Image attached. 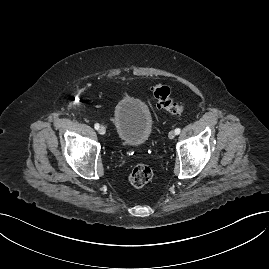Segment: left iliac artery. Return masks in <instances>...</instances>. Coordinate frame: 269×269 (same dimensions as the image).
Returning a JSON list of instances; mask_svg holds the SVG:
<instances>
[{"mask_svg":"<svg viewBox=\"0 0 269 269\" xmlns=\"http://www.w3.org/2000/svg\"><path fill=\"white\" fill-rule=\"evenodd\" d=\"M180 132H181L180 128H176V129H175V133H176V135H178Z\"/></svg>","mask_w":269,"mask_h":269,"instance_id":"1","label":"left iliac artery"}]
</instances>
